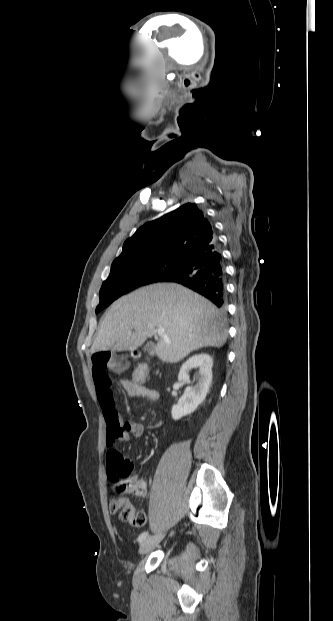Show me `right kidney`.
Returning a JSON list of instances; mask_svg holds the SVG:
<instances>
[{"mask_svg": "<svg viewBox=\"0 0 333 621\" xmlns=\"http://www.w3.org/2000/svg\"><path fill=\"white\" fill-rule=\"evenodd\" d=\"M213 360L209 354L200 353L190 357L182 366L178 380L189 381V371L199 368L200 378L196 386L187 387L184 394L172 407V418L178 420L183 416L193 413L204 401L212 381Z\"/></svg>", "mask_w": 333, "mask_h": 621, "instance_id": "right-kidney-1", "label": "right kidney"}]
</instances>
